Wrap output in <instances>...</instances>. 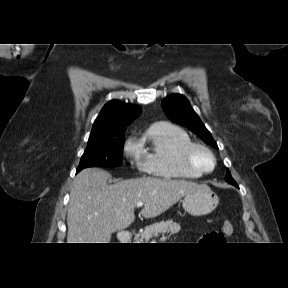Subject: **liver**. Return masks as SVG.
Returning a JSON list of instances; mask_svg holds the SVG:
<instances>
[{
  "label": "liver",
  "mask_w": 288,
  "mask_h": 288,
  "mask_svg": "<svg viewBox=\"0 0 288 288\" xmlns=\"http://www.w3.org/2000/svg\"><path fill=\"white\" fill-rule=\"evenodd\" d=\"M110 174L86 168L73 180L67 209L68 243H109L114 232L123 233L135 220L134 209L154 218L199 185L185 180L137 178L108 185Z\"/></svg>",
  "instance_id": "liver-1"
}]
</instances>
